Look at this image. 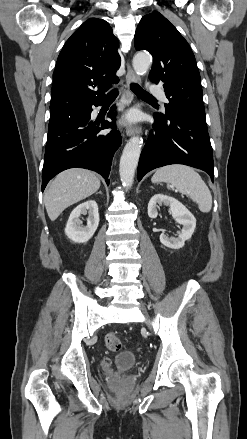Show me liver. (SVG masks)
Wrapping results in <instances>:
<instances>
[{
    "label": "liver",
    "mask_w": 247,
    "mask_h": 439,
    "mask_svg": "<svg viewBox=\"0 0 247 439\" xmlns=\"http://www.w3.org/2000/svg\"><path fill=\"white\" fill-rule=\"evenodd\" d=\"M100 188L99 178L91 171L72 168L58 174L45 191L44 204L51 221L69 206L84 200Z\"/></svg>",
    "instance_id": "1"
}]
</instances>
